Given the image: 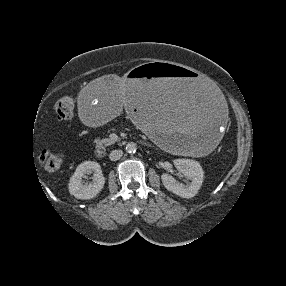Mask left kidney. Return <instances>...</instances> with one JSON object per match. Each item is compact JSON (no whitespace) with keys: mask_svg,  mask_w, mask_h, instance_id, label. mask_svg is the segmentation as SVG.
I'll list each match as a JSON object with an SVG mask.
<instances>
[{"mask_svg":"<svg viewBox=\"0 0 286 286\" xmlns=\"http://www.w3.org/2000/svg\"><path fill=\"white\" fill-rule=\"evenodd\" d=\"M173 163L177 170L188 177L191 182L187 187H183L170 174L163 173L161 179L164 187L182 198L188 199L194 197L201 188L204 180V171L201 165L191 159H175Z\"/></svg>","mask_w":286,"mask_h":286,"instance_id":"left-kidney-1","label":"left kidney"}]
</instances>
